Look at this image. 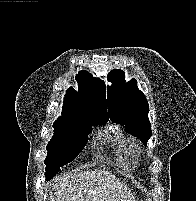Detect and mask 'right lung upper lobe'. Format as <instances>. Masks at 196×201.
<instances>
[{"instance_id":"right-lung-upper-lobe-1","label":"right lung upper lobe","mask_w":196,"mask_h":201,"mask_svg":"<svg viewBox=\"0 0 196 201\" xmlns=\"http://www.w3.org/2000/svg\"><path fill=\"white\" fill-rule=\"evenodd\" d=\"M76 79L78 91L73 87L67 89L62 116L80 114L89 117L108 118L104 82L93 78L87 71H80Z\"/></svg>"}]
</instances>
